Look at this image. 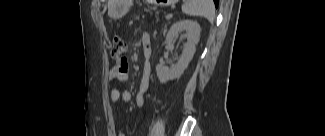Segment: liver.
<instances>
[{
    "label": "liver",
    "mask_w": 325,
    "mask_h": 136,
    "mask_svg": "<svg viewBox=\"0 0 325 136\" xmlns=\"http://www.w3.org/2000/svg\"><path fill=\"white\" fill-rule=\"evenodd\" d=\"M113 3H114L113 0L108 1V14L110 17H113V15H112Z\"/></svg>",
    "instance_id": "1"
}]
</instances>
